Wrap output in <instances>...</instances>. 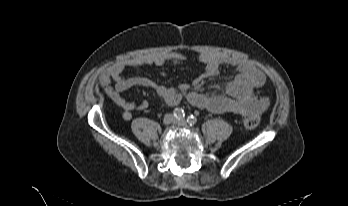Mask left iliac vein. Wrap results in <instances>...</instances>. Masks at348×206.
Returning a JSON list of instances; mask_svg holds the SVG:
<instances>
[{
    "instance_id": "4c4485c4",
    "label": "left iliac vein",
    "mask_w": 348,
    "mask_h": 206,
    "mask_svg": "<svg viewBox=\"0 0 348 206\" xmlns=\"http://www.w3.org/2000/svg\"><path fill=\"white\" fill-rule=\"evenodd\" d=\"M174 123L180 125V126H186L187 122L185 119H181V120H175Z\"/></svg>"
}]
</instances>
